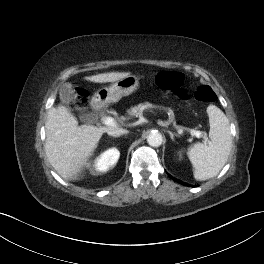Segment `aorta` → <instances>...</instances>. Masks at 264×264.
Listing matches in <instances>:
<instances>
[{
	"mask_svg": "<svg viewBox=\"0 0 264 264\" xmlns=\"http://www.w3.org/2000/svg\"><path fill=\"white\" fill-rule=\"evenodd\" d=\"M147 142L152 147H159L163 142L162 135L157 131L151 132L147 137Z\"/></svg>",
	"mask_w": 264,
	"mask_h": 264,
	"instance_id": "obj_1",
	"label": "aorta"
}]
</instances>
